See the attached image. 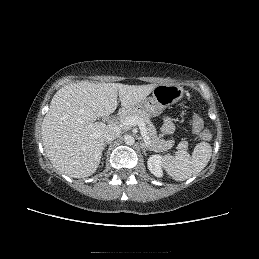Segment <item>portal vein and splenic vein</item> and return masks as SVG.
<instances>
[{"instance_id": "portal-vein-and-splenic-vein-1", "label": "portal vein and splenic vein", "mask_w": 259, "mask_h": 259, "mask_svg": "<svg viewBox=\"0 0 259 259\" xmlns=\"http://www.w3.org/2000/svg\"><path fill=\"white\" fill-rule=\"evenodd\" d=\"M119 122L123 126H127V127L138 126L144 141L146 142V144H149V138L147 135L146 125L142 119H140L137 116H132V117H127V118H121L119 120Z\"/></svg>"}]
</instances>
